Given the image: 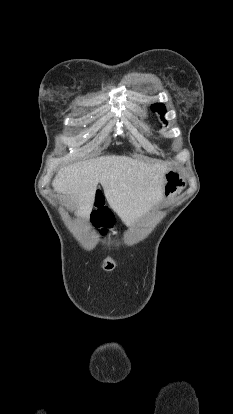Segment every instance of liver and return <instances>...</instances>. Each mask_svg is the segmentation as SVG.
Returning <instances> with one entry per match:
<instances>
[{"instance_id": "1", "label": "liver", "mask_w": 233, "mask_h": 414, "mask_svg": "<svg viewBox=\"0 0 233 414\" xmlns=\"http://www.w3.org/2000/svg\"><path fill=\"white\" fill-rule=\"evenodd\" d=\"M168 164L148 163L126 156H102L61 168L52 185L77 203V215L88 217L98 184L111 208L131 224L161 199Z\"/></svg>"}]
</instances>
